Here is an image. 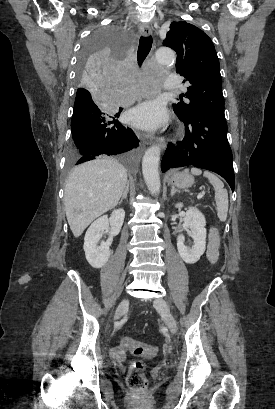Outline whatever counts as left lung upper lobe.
<instances>
[{"mask_svg": "<svg viewBox=\"0 0 275 409\" xmlns=\"http://www.w3.org/2000/svg\"><path fill=\"white\" fill-rule=\"evenodd\" d=\"M163 45L176 51V72L191 84L182 94L189 102L173 104L178 117L186 120L204 112L224 115L219 60L211 39L196 26L179 21L171 23Z\"/></svg>", "mask_w": 275, "mask_h": 409, "instance_id": "5c2ea615", "label": "left lung upper lobe"}]
</instances>
